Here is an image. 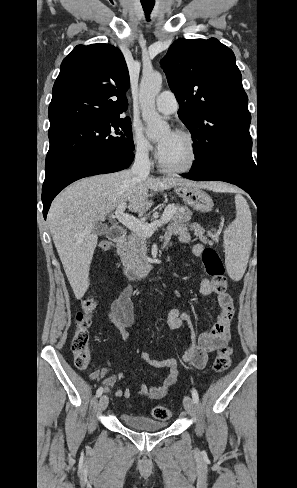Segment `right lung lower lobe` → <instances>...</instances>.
Wrapping results in <instances>:
<instances>
[{
    "instance_id": "right-lung-lower-lobe-1",
    "label": "right lung lower lobe",
    "mask_w": 297,
    "mask_h": 488,
    "mask_svg": "<svg viewBox=\"0 0 297 488\" xmlns=\"http://www.w3.org/2000/svg\"><path fill=\"white\" fill-rule=\"evenodd\" d=\"M134 153H106L86 157L74 161L50 177L45 178L42 187L43 216L47 212L54 197L70 183L83 177L120 171L130 166Z\"/></svg>"
}]
</instances>
